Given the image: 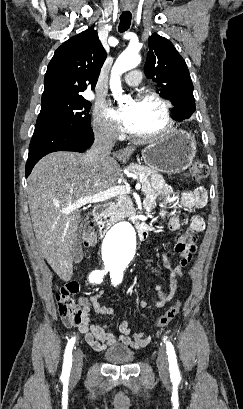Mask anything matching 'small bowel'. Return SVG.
<instances>
[{
	"instance_id": "c3829d8e",
	"label": "small bowel",
	"mask_w": 243,
	"mask_h": 409,
	"mask_svg": "<svg viewBox=\"0 0 243 409\" xmlns=\"http://www.w3.org/2000/svg\"><path fill=\"white\" fill-rule=\"evenodd\" d=\"M147 195L145 202L146 209L150 210L157 208L159 215L164 219L165 207L170 201L172 188L160 177H153L151 181L144 187ZM207 191L203 187H198L194 190L186 191L180 196V205L186 209L201 208L206 204ZM166 224L171 231L179 230L181 223L178 217L173 216L166 220ZM205 228L204 221L199 216H194L187 227L186 232L180 236L175 244V252L179 255L178 263L173 267L166 255H163V265L169 270V292L163 290L162 285H156L154 291L156 293V300L154 306L157 308L163 307L168 303L174 295L179 291L177 277L184 275V269L192 259L196 252V242L198 234ZM146 268L156 272V268L152 266L151 260L146 262ZM105 295L104 290H100L91 296L89 299L79 297L78 303L83 310L82 322L78 325L79 331L85 335L87 343L95 351H102L108 346L115 344H123L134 349H140L150 344L152 334L138 330L132 333L128 322L119 321L117 329L119 334L113 333L107 324L91 323V313L94 311L101 317L113 316V309L102 304V299ZM140 308L145 309L150 306L147 300H141Z\"/></svg>"
}]
</instances>
